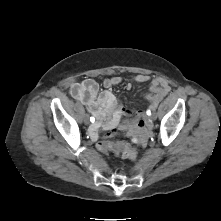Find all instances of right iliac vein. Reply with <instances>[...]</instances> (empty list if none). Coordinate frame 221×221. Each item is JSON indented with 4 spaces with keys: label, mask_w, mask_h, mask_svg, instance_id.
<instances>
[{
    "label": "right iliac vein",
    "mask_w": 221,
    "mask_h": 221,
    "mask_svg": "<svg viewBox=\"0 0 221 221\" xmlns=\"http://www.w3.org/2000/svg\"><path fill=\"white\" fill-rule=\"evenodd\" d=\"M84 123H85L86 125L89 124V118H88V115H87V114L84 116Z\"/></svg>",
    "instance_id": "1"
}]
</instances>
